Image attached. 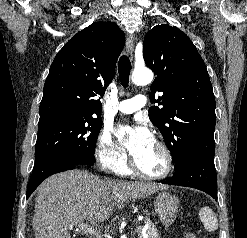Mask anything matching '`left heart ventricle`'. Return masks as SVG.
Instances as JSON below:
<instances>
[{"instance_id": "1", "label": "left heart ventricle", "mask_w": 247, "mask_h": 238, "mask_svg": "<svg viewBox=\"0 0 247 238\" xmlns=\"http://www.w3.org/2000/svg\"><path fill=\"white\" fill-rule=\"evenodd\" d=\"M134 159L137 166L148 174H159L165 167L164 156L154 142L135 156Z\"/></svg>"}]
</instances>
